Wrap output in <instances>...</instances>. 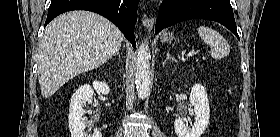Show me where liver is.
Masks as SVG:
<instances>
[{
	"mask_svg": "<svg viewBox=\"0 0 280 137\" xmlns=\"http://www.w3.org/2000/svg\"><path fill=\"white\" fill-rule=\"evenodd\" d=\"M124 37L109 20L89 11H70L49 23L38 51V80L44 98L70 79L104 64Z\"/></svg>",
	"mask_w": 280,
	"mask_h": 137,
	"instance_id": "obj_1",
	"label": "liver"
}]
</instances>
